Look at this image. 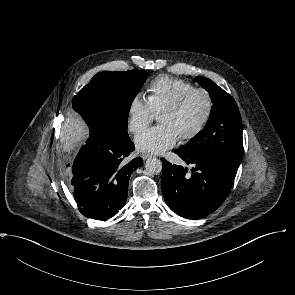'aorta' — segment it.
<instances>
[{
    "label": "aorta",
    "instance_id": "1",
    "mask_svg": "<svg viewBox=\"0 0 295 295\" xmlns=\"http://www.w3.org/2000/svg\"><path fill=\"white\" fill-rule=\"evenodd\" d=\"M145 169L150 175L160 174L162 171V162L157 158H149L145 163Z\"/></svg>",
    "mask_w": 295,
    "mask_h": 295
}]
</instances>
